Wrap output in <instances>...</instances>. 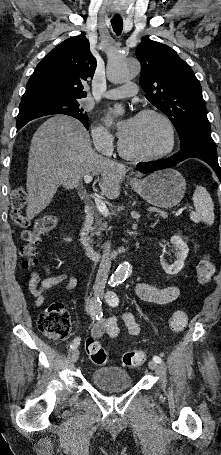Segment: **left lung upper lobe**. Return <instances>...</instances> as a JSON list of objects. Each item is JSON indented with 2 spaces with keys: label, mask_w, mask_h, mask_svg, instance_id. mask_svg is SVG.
Masks as SVG:
<instances>
[{
  "label": "left lung upper lobe",
  "mask_w": 221,
  "mask_h": 455,
  "mask_svg": "<svg viewBox=\"0 0 221 455\" xmlns=\"http://www.w3.org/2000/svg\"><path fill=\"white\" fill-rule=\"evenodd\" d=\"M136 56L146 98L171 120L180 146L193 139L212 140L201 85L190 66L169 46L149 39L137 46Z\"/></svg>",
  "instance_id": "1"
}]
</instances>
